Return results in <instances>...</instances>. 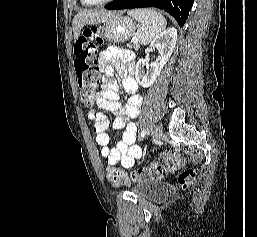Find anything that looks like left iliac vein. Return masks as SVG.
<instances>
[{
    "mask_svg": "<svg viewBox=\"0 0 257 237\" xmlns=\"http://www.w3.org/2000/svg\"><path fill=\"white\" fill-rule=\"evenodd\" d=\"M162 137V126L157 124L153 130H152V133H151V138L152 140L154 141H158L160 140V138Z\"/></svg>",
    "mask_w": 257,
    "mask_h": 237,
    "instance_id": "left-iliac-vein-1",
    "label": "left iliac vein"
}]
</instances>
